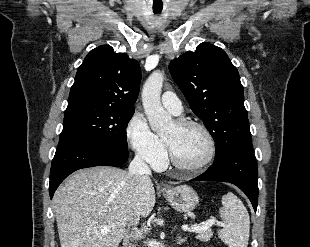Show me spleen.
I'll return each instance as SVG.
<instances>
[{"label":"spleen","instance_id":"obj_1","mask_svg":"<svg viewBox=\"0 0 310 247\" xmlns=\"http://www.w3.org/2000/svg\"><path fill=\"white\" fill-rule=\"evenodd\" d=\"M219 214L224 222L218 237L229 247H247L250 232V218L243 202L232 192L222 197Z\"/></svg>","mask_w":310,"mask_h":247}]
</instances>
